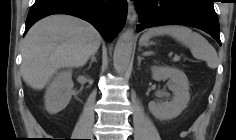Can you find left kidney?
Returning a JSON list of instances; mask_svg holds the SVG:
<instances>
[{
  "mask_svg": "<svg viewBox=\"0 0 236 140\" xmlns=\"http://www.w3.org/2000/svg\"><path fill=\"white\" fill-rule=\"evenodd\" d=\"M152 77L155 80L169 79L168 88L174 94L170 102L151 101L148 104L151 113L160 120L173 119L181 114L190 100L189 82L183 71L171 67H153Z\"/></svg>",
  "mask_w": 236,
  "mask_h": 140,
  "instance_id": "obj_1",
  "label": "left kidney"
}]
</instances>
